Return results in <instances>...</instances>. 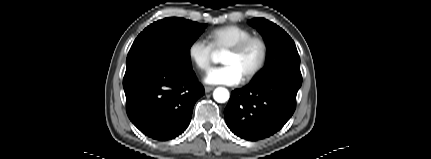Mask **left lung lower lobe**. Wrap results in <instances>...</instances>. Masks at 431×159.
Here are the masks:
<instances>
[{"instance_id": "1", "label": "left lung lower lobe", "mask_w": 431, "mask_h": 159, "mask_svg": "<svg viewBox=\"0 0 431 159\" xmlns=\"http://www.w3.org/2000/svg\"><path fill=\"white\" fill-rule=\"evenodd\" d=\"M301 84L302 76L282 73L232 91L224 111L227 126L248 141L272 136L293 115Z\"/></svg>"}]
</instances>
